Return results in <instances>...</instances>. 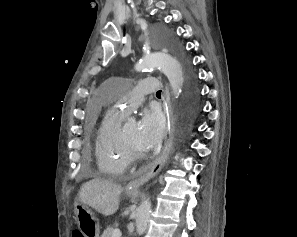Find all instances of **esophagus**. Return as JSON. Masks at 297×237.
I'll list each match as a JSON object with an SVG mask.
<instances>
[{
  "label": "esophagus",
  "mask_w": 297,
  "mask_h": 237,
  "mask_svg": "<svg viewBox=\"0 0 297 237\" xmlns=\"http://www.w3.org/2000/svg\"><path fill=\"white\" fill-rule=\"evenodd\" d=\"M164 113L166 115V132H165V143L163 150L159 157L155 160L149 169L144 170L140 177L129 181L126 185L127 191H137L144 183L154 177L163 167L167 161L170 151L174 143V126H173V115L170 108L164 105Z\"/></svg>",
  "instance_id": "34e87169"
}]
</instances>
